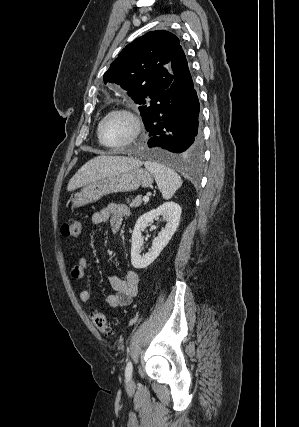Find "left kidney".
I'll list each match as a JSON object with an SVG mask.
<instances>
[{"instance_id": "1", "label": "left kidney", "mask_w": 299, "mask_h": 427, "mask_svg": "<svg viewBox=\"0 0 299 427\" xmlns=\"http://www.w3.org/2000/svg\"><path fill=\"white\" fill-rule=\"evenodd\" d=\"M181 212V207L177 203L165 202L139 217L132 233L131 264L134 268H146L160 255L178 228ZM159 216L166 221V226L159 236L153 240L151 249L141 255L144 243L142 232Z\"/></svg>"}]
</instances>
